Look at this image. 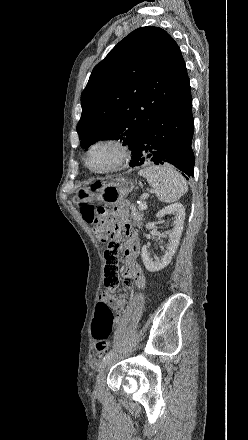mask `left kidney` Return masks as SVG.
<instances>
[{"label": "left kidney", "instance_id": "1", "mask_svg": "<svg viewBox=\"0 0 248 440\" xmlns=\"http://www.w3.org/2000/svg\"><path fill=\"white\" fill-rule=\"evenodd\" d=\"M167 214H172L174 216L175 221L173 224V229L169 234V244L164 255L160 259L154 257L155 261H153V258L150 257V253L148 252L147 246L144 245L142 247V252H141L142 261L146 269L150 272H156L165 268L171 262V259L175 254L177 247L179 245V240L181 237L184 219H185V208L181 203H175L169 205L163 208L162 210L158 211L156 214V218L164 217Z\"/></svg>", "mask_w": 248, "mask_h": 440}]
</instances>
